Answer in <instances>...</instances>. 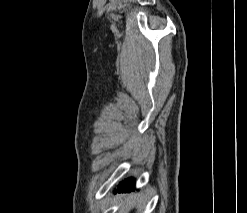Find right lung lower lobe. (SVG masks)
<instances>
[{"label":"right lung lower lobe","mask_w":247,"mask_h":213,"mask_svg":"<svg viewBox=\"0 0 247 213\" xmlns=\"http://www.w3.org/2000/svg\"><path fill=\"white\" fill-rule=\"evenodd\" d=\"M134 189L133 179H127L118 186V192H127Z\"/></svg>","instance_id":"98d812e1"}]
</instances>
